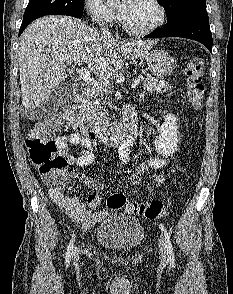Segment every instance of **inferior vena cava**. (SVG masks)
<instances>
[{
    "mask_svg": "<svg viewBox=\"0 0 233 294\" xmlns=\"http://www.w3.org/2000/svg\"><path fill=\"white\" fill-rule=\"evenodd\" d=\"M100 26H101L102 37L111 38L112 35L109 29L105 28L103 24H100Z\"/></svg>",
    "mask_w": 233,
    "mask_h": 294,
    "instance_id": "1",
    "label": "inferior vena cava"
}]
</instances>
